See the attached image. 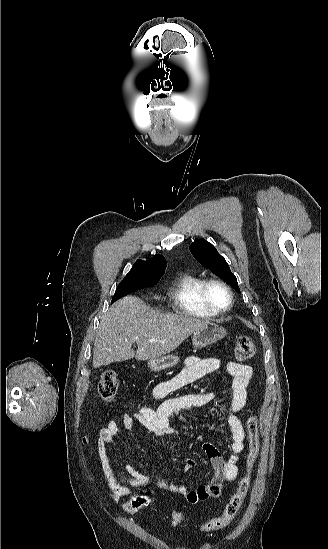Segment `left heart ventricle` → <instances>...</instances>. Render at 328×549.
Masks as SVG:
<instances>
[{
	"mask_svg": "<svg viewBox=\"0 0 328 549\" xmlns=\"http://www.w3.org/2000/svg\"><path fill=\"white\" fill-rule=\"evenodd\" d=\"M210 300L217 309H224L229 303L227 291L221 287H213L210 291Z\"/></svg>",
	"mask_w": 328,
	"mask_h": 549,
	"instance_id": "b2bd125f",
	"label": "left heart ventricle"
}]
</instances>
